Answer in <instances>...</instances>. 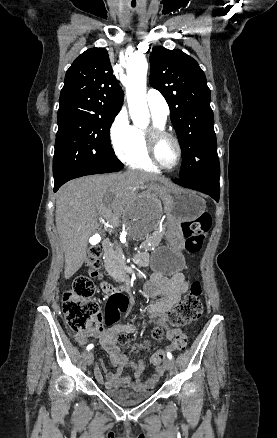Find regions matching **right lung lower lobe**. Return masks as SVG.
Segmentation results:
<instances>
[{
	"mask_svg": "<svg viewBox=\"0 0 277 438\" xmlns=\"http://www.w3.org/2000/svg\"><path fill=\"white\" fill-rule=\"evenodd\" d=\"M122 168L119 169H99V170H91V171H86V172H79V173H75L63 180L60 181H54V191H57L61 185H63L65 182L77 178V177H81L84 175H92V174H100V173H109V172H116L121 170Z\"/></svg>",
	"mask_w": 277,
	"mask_h": 438,
	"instance_id": "98d812e1",
	"label": "right lung lower lobe"
}]
</instances>
